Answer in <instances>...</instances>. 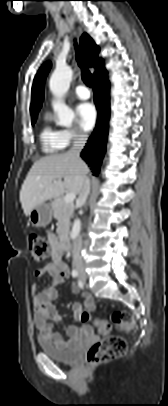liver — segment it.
<instances>
[{"label": "liver", "instance_id": "1", "mask_svg": "<svg viewBox=\"0 0 168 406\" xmlns=\"http://www.w3.org/2000/svg\"><path fill=\"white\" fill-rule=\"evenodd\" d=\"M88 171L83 161L78 163L68 152L45 156L36 161L20 191V202L24 214L29 216L36 206L59 197L65 190L75 195L79 194L83 178Z\"/></svg>", "mask_w": 168, "mask_h": 406}]
</instances>
